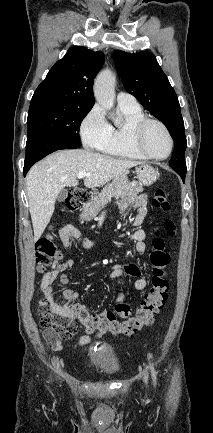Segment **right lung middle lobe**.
<instances>
[{
	"instance_id": "obj_1",
	"label": "right lung middle lobe",
	"mask_w": 213,
	"mask_h": 433,
	"mask_svg": "<svg viewBox=\"0 0 213 433\" xmlns=\"http://www.w3.org/2000/svg\"><path fill=\"white\" fill-rule=\"evenodd\" d=\"M92 106L49 99L31 100L27 138L52 135L80 147L78 131Z\"/></svg>"
}]
</instances>
